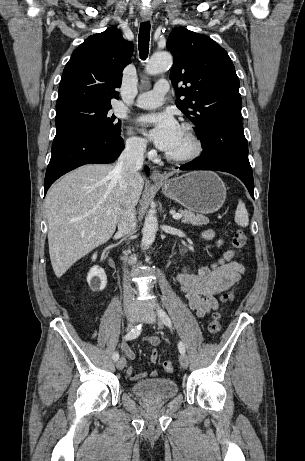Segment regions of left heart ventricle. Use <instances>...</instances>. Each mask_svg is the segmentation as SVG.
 <instances>
[{
	"mask_svg": "<svg viewBox=\"0 0 305 461\" xmlns=\"http://www.w3.org/2000/svg\"><path fill=\"white\" fill-rule=\"evenodd\" d=\"M193 148L192 141L190 140L188 134L180 128V133L175 144L171 147L167 153L175 156L185 155L189 153Z\"/></svg>",
	"mask_w": 305,
	"mask_h": 461,
	"instance_id": "obj_1",
	"label": "left heart ventricle"
}]
</instances>
